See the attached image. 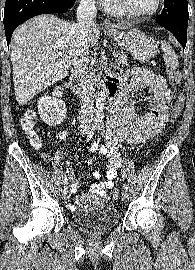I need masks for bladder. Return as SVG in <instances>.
Segmentation results:
<instances>
[{"label": "bladder", "mask_w": 195, "mask_h": 270, "mask_svg": "<svg viewBox=\"0 0 195 270\" xmlns=\"http://www.w3.org/2000/svg\"><path fill=\"white\" fill-rule=\"evenodd\" d=\"M119 218L120 213L114 206L95 204L75 211L71 216V222L81 231L97 235L114 228Z\"/></svg>", "instance_id": "1"}]
</instances>
